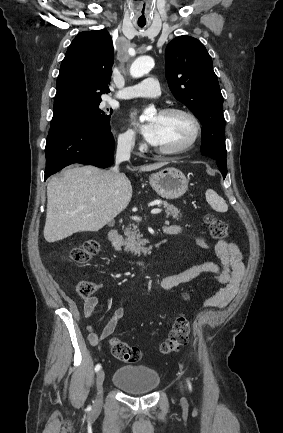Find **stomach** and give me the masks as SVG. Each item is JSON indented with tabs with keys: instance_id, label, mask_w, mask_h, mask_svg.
Segmentation results:
<instances>
[{
	"instance_id": "1",
	"label": "stomach",
	"mask_w": 283,
	"mask_h": 433,
	"mask_svg": "<svg viewBox=\"0 0 283 433\" xmlns=\"http://www.w3.org/2000/svg\"><path fill=\"white\" fill-rule=\"evenodd\" d=\"M150 184L163 198H179L188 188V180L178 168H163L151 174Z\"/></svg>"
}]
</instances>
